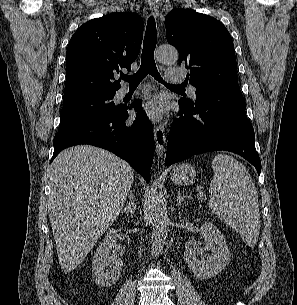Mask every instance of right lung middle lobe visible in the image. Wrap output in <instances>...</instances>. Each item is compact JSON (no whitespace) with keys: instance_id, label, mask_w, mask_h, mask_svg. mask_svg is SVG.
<instances>
[{"instance_id":"right-lung-middle-lobe-1","label":"right lung middle lobe","mask_w":297,"mask_h":305,"mask_svg":"<svg viewBox=\"0 0 297 305\" xmlns=\"http://www.w3.org/2000/svg\"><path fill=\"white\" fill-rule=\"evenodd\" d=\"M114 96L115 92H103L63 101L59 130L84 117L116 111L121 105L112 102Z\"/></svg>"}]
</instances>
